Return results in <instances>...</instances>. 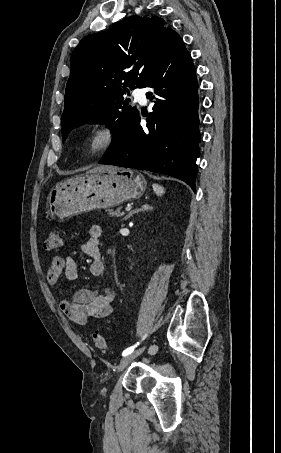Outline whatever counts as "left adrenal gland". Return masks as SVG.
Returning <instances> with one entry per match:
<instances>
[{"instance_id": "obj_1", "label": "left adrenal gland", "mask_w": 281, "mask_h": 453, "mask_svg": "<svg viewBox=\"0 0 281 453\" xmlns=\"http://www.w3.org/2000/svg\"><path fill=\"white\" fill-rule=\"evenodd\" d=\"M153 206H150V204H142L141 208H135V210H131L129 214H126L124 216L123 220H126V218H130V216H133L135 212H140V210H152Z\"/></svg>"}]
</instances>
